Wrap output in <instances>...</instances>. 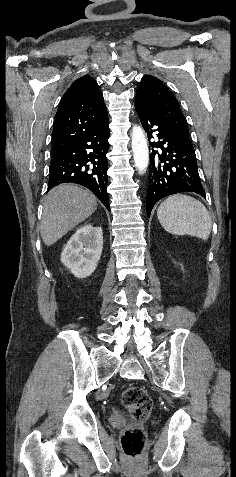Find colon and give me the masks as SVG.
Listing matches in <instances>:
<instances>
[{
    "label": "colon",
    "instance_id": "5ec220e1",
    "mask_svg": "<svg viewBox=\"0 0 236 477\" xmlns=\"http://www.w3.org/2000/svg\"><path fill=\"white\" fill-rule=\"evenodd\" d=\"M122 403L137 421L146 420L152 409L153 402L148 393L141 387L130 386L122 392ZM121 444L126 456L137 459L144 448V434L139 427L125 429L121 436Z\"/></svg>",
    "mask_w": 236,
    "mask_h": 477
}]
</instances>
